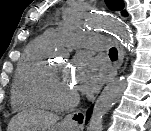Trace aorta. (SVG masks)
I'll list each match as a JSON object with an SVG mask.
<instances>
[{
	"label": "aorta",
	"mask_w": 151,
	"mask_h": 131,
	"mask_svg": "<svg viewBox=\"0 0 151 131\" xmlns=\"http://www.w3.org/2000/svg\"><path fill=\"white\" fill-rule=\"evenodd\" d=\"M71 16L72 15L69 13L66 16V20L70 21ZM82 23L88 27L103 29L117 35L121 39L123 45L129 50L131 49V34L125 24L119 19L102 15H89ZM126 86L127 83L125 79L120 78L104 88L95 102L87 131H102L103 116L112 108L115 102L120 99Z\"/></svg>",
	"instance_id": "1"
}]
</instances>
